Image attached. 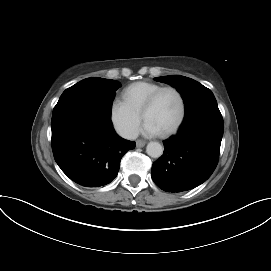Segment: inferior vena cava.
Segmentation results:
<instances>
[{
  "instance_id": "602c4592",
  "label": "inferior vena cava",
  "mask_w": 271,
  "mask_h": 271,
  "mask_svg": "<svg viewBox=\"0 0 271 271\" xmlns=\"http://www.w3.org/2000/svg\"><path fill=\"white\" fill-rule=\"evenodd\" d=\"M137 136H138V133L134 131V132L128 133L127 138L128 139H136Z\"/></svg>"
}]
</instances>
